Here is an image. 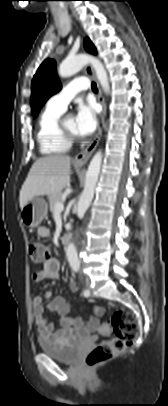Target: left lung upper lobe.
I'll list each match as a JSON object with an SVG mask.
<instances>
[{
	"mask_svg": "<svg viewBox=\"0 0 168 406\" xmlns=\"http://www.w3.org/2000/svg\"><path fill=\"white\" fill-rule=\"evenodd\" d=\"M84 47L86 51L96 54V48L89 38H85ZM60 89L61 84L56 75V63L52 59H46L40 65L32 80V114L37 116L47 99Z\"/></svg>",
	"mask_w": 168,
	"mask_h": 406,
	"instance_id": "obj_1",
	"label": "left lung upper lobe"
}]
</instances>
